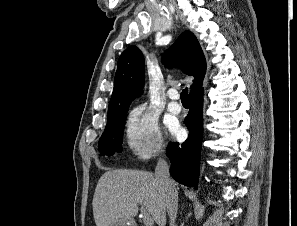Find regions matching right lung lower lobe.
Wrapping results in <instances>:
<instances>
[{
    "label": "right lung lower lobe",
    "mask_w": 297,
    "mask_h": 226,
    "mask_svg": "<svg viewBox=\"0 0 297 226\" xmlns=\"http://www.w3.org/2000/svg\"><path fill=\"white\" fill-rule=\"evenodd\" d=\"M203 88L190 93V111L185 118L189 129L188 139L179 147L170 143L167 155L171 161L170 174L179 183L198 188L200 152L203 135Z\"/></svg>",
    "instance_id": "1"
}]
</instances>
